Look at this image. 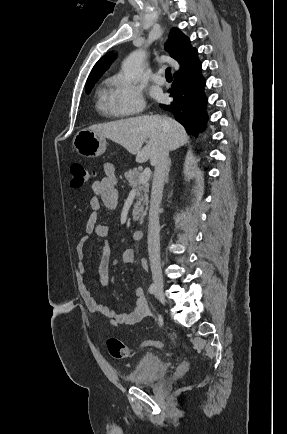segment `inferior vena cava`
<instances>
[{
    "mask_svg": "<svg viewBox=\"0 0 287 434\" xmlns=\"http://www.w3.org/2000/svg\"><path fill=\"white\" fill-rule=\"evenodd\" d=\"M163 129L166 130L167 122L162 120ZM169 147L167 137L162 139L155 159V171L152 183L151 202L148 225V252L153 281L162 283V270L160 264V225L159 209L162 200V191L168 167Z\"/></svg>",
    "mask_w": 287,
    "mask_h": 434,
    "instance_id": "inferior-vena-cava-1",
    "label": "inferior vena cava"
}]
</instances>
